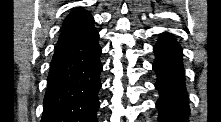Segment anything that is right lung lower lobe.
I'll return each mask as SVG.
<instances>
[{"label": "right lung lower lobe", "instance_id": "1", "mask_svg": "<svg viewBox=\"0 0 221 122\" xmlns=\"http://www.w3.org/2000/svg\"><path fill=\"white\" fill-rule=\"evenodd\" d=\"M94 20L59 38L41 122H97L102 52Z\"/></svg>", "mask_w": 221, "mask_h": 122}]
</instances>
